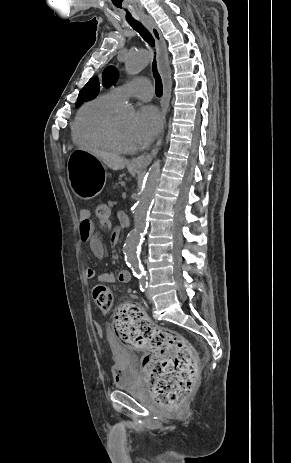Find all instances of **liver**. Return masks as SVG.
<instances>
[{
	"mask_svg": "<svg viewBox=\"0 0 291 463\" xmlns=\"http://www.w3.org/2000/svg\"><path fill=\"white\" fill-rule=\"evenodd\" d=\"M91 154L100 159L104 164L113 170L124 169L127 164V161L124 158L114 153L101 150H91Z\"/></svg>",
	"mask_w": 291,
	"mask_h": 463,
	"instance_id": "liver-1",
	"label": "liver"
}]
</instances>
